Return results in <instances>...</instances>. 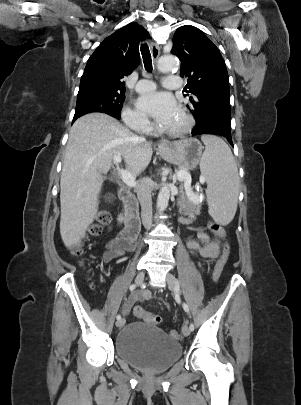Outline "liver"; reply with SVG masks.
Listing matches in <instances>:
<instances>
[{"label": "liver", "instance_id": "6515ba94", "mask_svg": "<svg viewBox=\"0 0 301 405\" xmlns=\"http://www.w3.org/2000/svg\"><path fill=\"white\" fill-rule=\"evenodd\" d=\"M152 144L133 134L115 118L91 113L73 124L60 179V234L66 246L78 244L94 221L103 177L116 155L136 176L150 163Z\"/></svg>", "mask_w": 301, "mask_h": 405}]
</instances>
